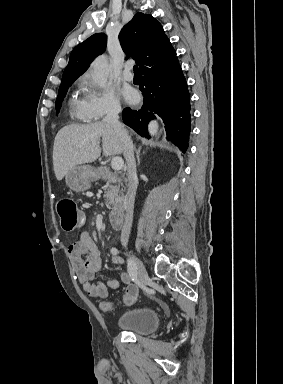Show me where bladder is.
Returning a JSON list of instances; mask_svg holds the SVG:
<instances>
[{"label": "bladder", "instance_id": "1", "mask_svg": "<svg viewBox=\"0 0 283 384\" xmlns=\"http://www.w3.org/2000/svg\"><path fill=\"white\" fill-rule=\"evenodd\" d=\"M161 318L154 306H136L126 309L116 321V327L124 331H134L139 335H148L159 328Z\"/></svg>", "mask_w": 283, "mask_h": 384}]
</instances>
